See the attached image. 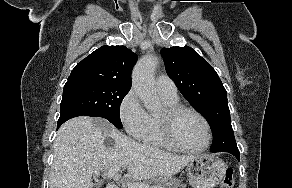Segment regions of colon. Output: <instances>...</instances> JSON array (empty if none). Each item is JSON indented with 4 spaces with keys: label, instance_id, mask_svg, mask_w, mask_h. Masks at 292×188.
<instances>
[{
    "label": "colon",
    "instance_id": "colon-1",
    "mask_svg": "<svg viewBox=\"0 0 292 188\" xmlns=\"http://www.w3.org/2000/svg\"><path fill=\"white\" fill-rule=\"evenodd\" d=\"M233 186V170L232 168H227L222 182L220 183L218 188H232Z\"/></svg>",
    "mask_w": 292,
    "mask_h": 188
}]
</instances>
